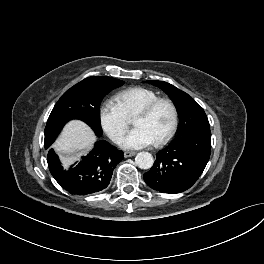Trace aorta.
<instances>
[{
  "mask_svg": "<svg viewBox=\"0 0 264 264\" xmlns=\"http://www.w3.org/2000/svg\"><path fill=\"white\" fill-rule=\"evenodd\" d=\"M136 165L141 169H149L154 163L152 154L149 152H139L135 158Z\"/></svg>",
  "mask_w": 264,
  "mask_h": 264,
  "instance_id": "762f6f07",
  "label": "aorta"
}]
</instances>
